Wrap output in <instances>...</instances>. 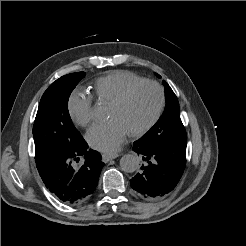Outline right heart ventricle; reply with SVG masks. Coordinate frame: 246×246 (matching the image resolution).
<instances>
[{
	"label": "right heart ventricle",
	"instance_id": "e07e8e85",
	"mask_svg": "<svg viewBox=\"0 0 246 246\" xmlns=\"http://www.w3.org/2000/svg\"><path fill=\"white\" fill-rule=\"evenodd\" d=\"M141 80L143 78L136 74L114 71L96 79L94 95L99 101L111 104L128 86Z\"/></svg>",
	"mask_w": 246,
	"mask_h": 246
}]
</instances>
